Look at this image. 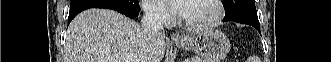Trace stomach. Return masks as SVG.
<instances>
[{"label":"stomach","instance_id":"1","mask_svg":"<svg viewBox=\"0 0 331 62\" xmlns=\"http://www.w3.org/2000/svg\"><path fill=\"white\" fill-rule=\"evenodd\" d=\"M175 45L198 54L204 62H222L230 52V42L218 30H209L186 37Z\"/></svg>","mask_w":331,"mask_h":62}]
</instances>
